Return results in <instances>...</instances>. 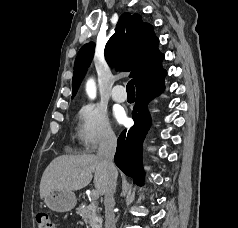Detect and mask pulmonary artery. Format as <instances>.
<instances>
[{
	"mask_svg": "<svg viewBox=\"0 0 238 228\" xmlns=\"http://www.w3.org/2000/svg\"><path fill=\"white\" fill-rule=\"evenodd\" d=\"M111 96L114 101L119 102V103H122V102L126 101V99H127V94H126L125 89L122 85H116L112 89Z\"/></svg>",
	"mask_w": 238,
	"mask_h": 228,
	"instance_id": "e3ab8cb5",
	"label": "pulmonary artery"
}]
</instances>
